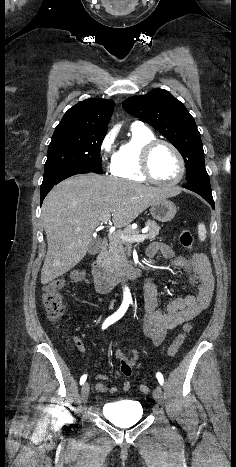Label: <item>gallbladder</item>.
I'll list each match as a JSON object with an SVG mask.
<instances>
[{"mask_svg":"<svg viewBox=\"0 0 236 467\" xmlns=\"http://www.w3.org/2000/svg\"><path fill=\"white\" fill-rule=\"evenodd\" d=\"M101 248V240L99 238L92 239L88 246V253L91 255H95L100 251Z\"/></svg>","mask_w":236,"mask_h":467,"instance_id":"obj_1","label":"gallbladder"}]
</instances>
